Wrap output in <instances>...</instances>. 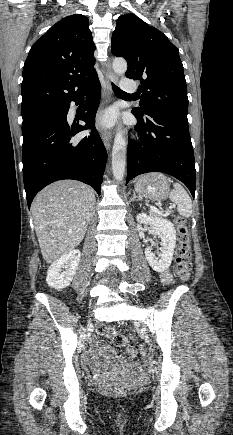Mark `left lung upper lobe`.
<instances>
[{
	"mask_svg": "<svg viewBox=\"0 0 233 435\" xmlns=\"http://www.w3.org/2000/svg\"><path fill=\"white\" fill-rule=\"evenodd\" d=\"M113 55L126 59V77L139 80L140 117H187L188 97L179 50L158 29L134 14L121 15L112 34Z\"/></svg>",
	"mask_w": 233,
	"mask_h": 435,
	"instance_id": "5c2ea615",
	"label": "left lung upper lobe"
}]
</instances>
